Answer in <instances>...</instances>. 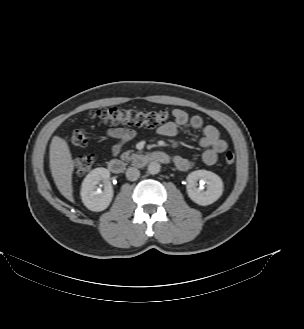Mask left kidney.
<instances>
[{
  "label": "left kidney",
  "mask_w": 304,
  "mask_h": 329,
  "mask_svg": "<svg viewBox=\"0 0 304 329\" xmlns=\"http://www.w3.org/2000/svg\"><path fill=\"white\" fill-rule=\"evenodd\" d=\"M187 193L190 199L202 206L217 201L223 193L222 179L215 173L207 170H196L187 176ZM198 181L206 183V190L197 188Z\"/></svg>",
  "instance_id": "obj_1"
}]
</instances>
